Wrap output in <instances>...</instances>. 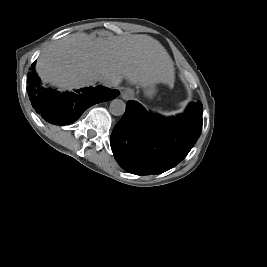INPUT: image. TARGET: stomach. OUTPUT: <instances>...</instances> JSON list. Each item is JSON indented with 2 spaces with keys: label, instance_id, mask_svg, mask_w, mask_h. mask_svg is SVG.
Masks as SVG:
<instances>
[{
  "label": "stomach",
  "instance_id": "0dacf381",
  "mask_svg": "<svg viewBox=\"0 0 267 267\" xmlns=\"http://www.w3.org/2000/svg\"><path fill=\"white\" fill-rule=\"evenodd\" d=\"M144 92L146 96L152 97L156 93V87L155 85H148L144 87Z\"/></svg>",
  "mask_w": 267,
  "mask_h": 267
}]
</instances>
